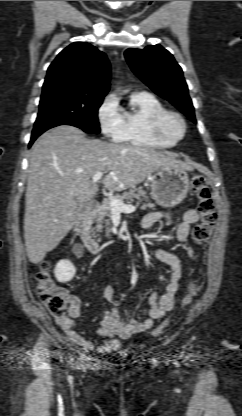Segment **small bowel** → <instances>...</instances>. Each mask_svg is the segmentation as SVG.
<instances>
[{
    "instance_id": "small-bowel-1",
    "label": "small bowel",
    "mask_w": 242,
    "mask_h": 416,
    "mask_svg": "<svg viewBox=\"0 0 242 416\" xmlns=\"http://www.w3.org/2000/svg\"><path fill=\"white\" fill-rule=\"evenodd\" d=\"M198 219L199 214L196 210L186 212L183 220L178 223L176 228V239L179 243H187L190 229ZM158 223L171 225L173 219L166 212H150L142 219L141 226L144 230L150 231ZM186 254L189 258L193 257V249L190 246L186 247ZM156 257L171 268V276L170 281L165 287V291L161 295L157 292L150 294V305L147 309V317L144 320L123 321L120 309L115 300V289L112 285L108 284L103 288V297L112 306L104 312L100 328L96 333L98 338L105 339V343L97 345L95 342L87 339L84 332L77 329L74 319L80 316V302L76 298L70 299L69 316L55 318L56 323L63 330L67 339L72 344L86 351L111 353L118 349L121 340L150 330L154 320L164 317L174 307L179 281L182 275V262L177 255L166 250L158 249L156 251Z\"/></svg>"
}]
</instances>
